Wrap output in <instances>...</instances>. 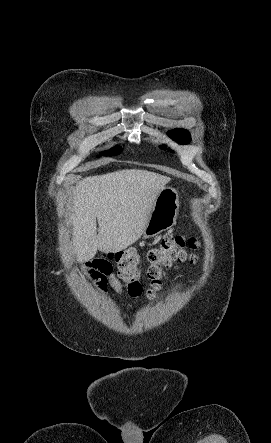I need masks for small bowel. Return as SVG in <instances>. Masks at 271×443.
Masks as SVG:
<instances>
[{"instance_id": "obj_1", "label": "small bowel", "mask_w": 271, "mask_h": 443, "mask_svg": "<svg viewBox=\"0 0 271 443\" xmlns=\"http://www.w3.org/2000/svg\"><path fill=\"white\" fill-rule=\"evenodd\" d=\"M84 274L91 279L100 293L106 291L109 284L116 292H122V286L116 276L112 273L110 263L101 259L88 262L83 267Z\"/></svg>"}]
</instances>
